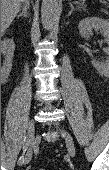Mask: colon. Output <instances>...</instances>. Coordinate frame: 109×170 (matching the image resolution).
Segmentation results:
<instances>
[{"label": "colon", "mask_w": 109, "mask_h": 170, "mask_svg": "<svg viewBox=\"0 0 109 170\" xmlns=\"http://www.w3.org/2000/svg\"><path fill=\"white\" fill-rule=\"evenodd\" d=\"M37 170H45V169H37Z\"/></svg>", "instance_id": "5ec220e1"}]
</instances>
